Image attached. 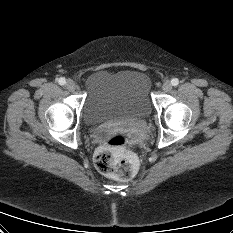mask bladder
Here are the masks:
<instances>
[{
	"label": "bladder",
	"mask_w": 233,
	"mask_h": 233,
	"mask_svg": "<svg viewBox=\"0 0 233 233\" xmlns=\"http://www.w3.org/2000/svg\"><path fill=\"white\" fill-rule=\"evenodd\" d=\"M151 79L138 69L99 70L85 80L83 119L89 126L147 118L152 112Z\"/></svg>",
	"instance_id": "31cf9c89"
}]
</instances>
